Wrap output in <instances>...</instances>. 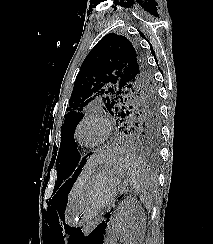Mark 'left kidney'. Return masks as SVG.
<instances>
[{"label":"left kidney","mask_w":213,"mask_h":244,"mask_svg":"<svg viewBox=\"0 0 213 244\" xmlns=\"http://www.w3.org/2000/svg\"><path fill=\"white\" fill-rule=\"evenodd\" d=\"M138 218L134 216L133 203L126 201L116 210L111 222L106 244H137Z\"/></svg>","instance_id":"1"}]
</instances>
